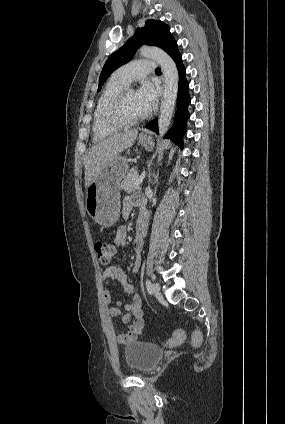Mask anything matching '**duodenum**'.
Wrapping results in <instances>:
<instances>
[{
    "instance_id": "obj_1",
    "label": "duodenum",
    "mask_w": 285,
    "mask_h": 424,
    "mask_svg": "<svg viewBox=\"0 0 285 424\" xmlns=\"http://www.w3.org/2000/svg\"><path fill=\"white\" fill-rule=\"evenodd\" d=\"M146 226H147V216L146 215H141L139 216L138 220H137V235L139 237H143L145 235L146 232Z\"/></svg>"
}]
</instances>
